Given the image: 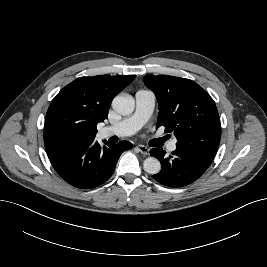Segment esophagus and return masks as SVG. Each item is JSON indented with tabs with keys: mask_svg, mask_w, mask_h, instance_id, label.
<instances>
[{
	"mask_svg": "<svg viewBox=\"0 0 267 267\" xmlns=\"http://www.w3.org/2000/svg\"><path fill=\"white\" fill-rule=\"evenodd\" d=\"M137 148L143 155H149V148L148 147H146L144 145H138Z\"/></svg>",
	"mask_w": 267,
	"mask_h": 267,
	"instance_id": "esophagus-1",
	"label": "esophagus"
}]
</instances>
